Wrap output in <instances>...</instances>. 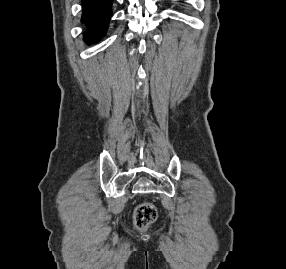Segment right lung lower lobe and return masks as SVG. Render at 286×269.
<instances>
[{"mask_svg":"<svg viewBox=\"0 0 286 269\" xmlns=\"http://www.w3.org/2000/svg\"><path fill=\"white\" fill-rule=\"evenodd\" d=\"M113 0H82L83 14L81 21L88 29L84 40L90 44L94 38L98 39L107 30L111 18Z\"/></svg>","mask_w":286,"mask_h":269,"instance_id":"obj_1","label":"right lung lower lobe"}]
</instances>
